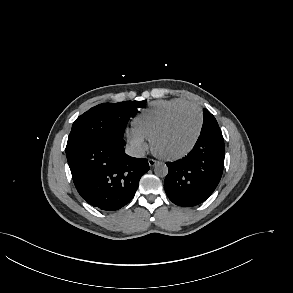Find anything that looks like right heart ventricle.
Instances as JSON below:
<instances>
[{"instance_id":"right-heart-ventricle-1","label":"right heart ventricle","mask_w":293,"mask_h":293,"mask_svg":"<svg viewBox=\"0 0 293 293\" xmlns=\"http://www.w3.org/2000/svg\"><path fill=\"white\" fill-rule=\"evenodd\" d=\"M190 103L183 98L159 100L151 103L133 122V131L146 139H151L153 133L165 120V118L177 107Z\"/></svg>"}]
</instances>
